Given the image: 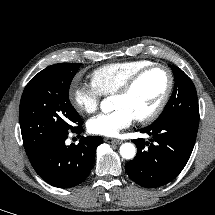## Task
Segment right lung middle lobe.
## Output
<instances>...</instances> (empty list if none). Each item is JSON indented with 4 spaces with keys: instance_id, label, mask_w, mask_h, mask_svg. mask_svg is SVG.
I'll use <instances>...</instances> for the list:
<instances>
[{
    "instance_id": "1",
    "label": "right lung middle lobe",
    "mask_w": 215,
    "mask_h": 215,
    "mask_svg": "<svg viewBox=\"0 0 215 215\" xmlns=\"http://www.w3.org/2000/svg\"><path fill=\"white\" fill-rule=\"evenodd\" d=\"M81 64L48 66L27 84L19 109L23 144L27 154L72 131L81 118L69 101L70 83Z\"/></svg>"
}]
</instances>
